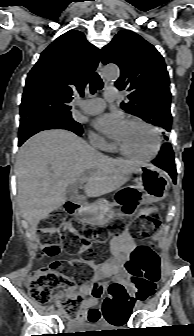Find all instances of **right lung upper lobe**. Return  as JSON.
Listing matches in <instances>:
<instances>
[{"label":"right lung upper lobe","instance_id":"cb5924a9","mask_svg":"<svg viewBox=\"0 0 194 336\" xmlns=\"http://www.w3.org/2000/svg\"><path fill=\"white\" fill-rule=\"evenodd\" d=\"M100 60V50L84 34L70 30L58 37L40 55L27 76L21 121L43 112H69L75 92L84 95L88 78Z\"/></svg>","mask_w":194,"mask_h":336}]
</instances>
